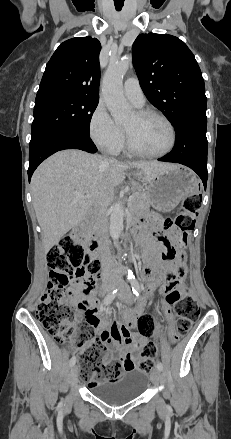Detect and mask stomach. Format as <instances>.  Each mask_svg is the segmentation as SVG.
Masks as SVG:
<instances>
[{"label": "stomach", "instance_id": "1", "mask_svg": "<svg viewBox=\"0 0 231 439\" xmlns=\"http://www.w3.org/2000/svg\"><path fill=\"white\" fill-rule=\"evenodd\" d=\"M134 175L143 178V172L137 170ZM199 189L197 176L190 169L175 166L157 174L146 189L150 204L157 210L169 212L183 199L194 194Z\"/></svg>", "mask_w": 231, "mask_h": 439}]
</instances>
